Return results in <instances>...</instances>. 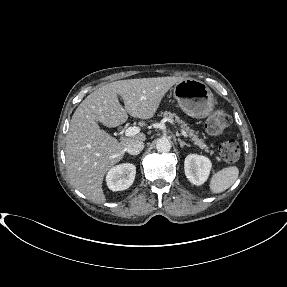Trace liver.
Here are the masks:
<instances>
[{
    "label": "liver",
    "mask_w": 287,
    "mask_h": 287,
    "mask_svg": "<svg viewBox=\"0 0 287 287\" xmlns=\"http://www.w3.org/2000/svg\"><path fill=\"white\" fill-rule=\"evenodd\" d=\"M182 77L128 79L106 84L88 95L74 112L66 136V168L70 183L96 204L106 201L102 189L105 174L124 156L132 140L144 141L143 133L121 142L100 129L134 118H152L168 90ZM124 101L120 104L118 96Z\"/></svg>",
    "instance_id": "1"
}]
</instances>
